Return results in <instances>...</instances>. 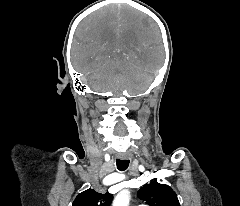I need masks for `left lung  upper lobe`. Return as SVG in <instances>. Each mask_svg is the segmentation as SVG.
<instances>
[{
  "label": "left lung upper lobe",
  "mask_w": 240,
  "mask_h": 206,
  "mask_svg": "<svg viewBox=\"0 0 240 206\" xmlns=\"http://www.w3.org/2000/svg\"><path fill=\"white\" fill-rule=\"evenodd\" d=\"M138 196L150 206H180L176 193L156 181L141 187Z\"/></svg>",
  "instance_id": "left-lung-upper-lobe-1"
}]
</instances>
